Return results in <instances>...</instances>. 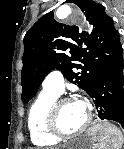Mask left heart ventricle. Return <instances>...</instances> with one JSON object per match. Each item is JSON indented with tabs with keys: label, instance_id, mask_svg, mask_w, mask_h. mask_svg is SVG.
<instances>
[{
	"label": "left heart ventricle",
	"instance_id": "1",
	"mask_svg": "<svg viewBox=\"0 0 124 149\" xmlns=\"http://www.w3.org/2000/svg\"><path fill=\"white\" fill-rule=\"evenodd\" d=\"M87 114V107L76 101L65 103L59 109V126L65 132H73L84 124Z\"/></svg>",
	"mask_w": 124,
	"mask_h": 149
}]
</instances>
